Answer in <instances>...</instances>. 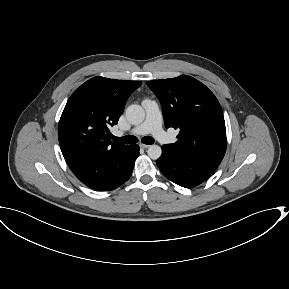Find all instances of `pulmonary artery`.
Returning a JSON list of instances; mask_svg holds the SVG:
<instances>
[{
  "mask_svg": "<svg viewBox=\"0 0 289 289\" xmlns=\"http://www.w3.org/2000/svg\"><path fill=\"white\" fill-rule=\"evenodd\" d=\"M142 106L146 112V118L142 124L133 128L130 133L133 135L151 133L160 142H171L172 137L166 133L162 127V114L157 102L151 99H144L142 101ZM121 134V132H117L118 136Z\"/></svg>",
  "mask_w": 289,
  "mask_h": 289,
  "instance_id": "pulmonary-artery-1",
  "label": "pulmonary artery"
}]
</instances>
